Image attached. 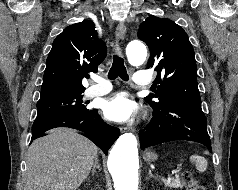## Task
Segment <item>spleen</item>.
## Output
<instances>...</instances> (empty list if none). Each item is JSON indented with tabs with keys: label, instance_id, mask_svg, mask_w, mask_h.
Masks as SVG:
<instances>
[{
	"label": "spleen",
	"instance_id": "obj_1",
	"mask_svg": "<svg viewBox=\"0 0 238 190\" xmlns=\"http://www.w3.org/2000/svg\"><path fill=\"white\" fill-rule=\"evenodd\" d=\"M191 160L195 161L196 169L199 172L206 171V169H207V160L204 157L198 156V155H193V156H191Z\"/></svg>",
	"mask_w": 238,
	"mask_h": 190
}]
</instances>
